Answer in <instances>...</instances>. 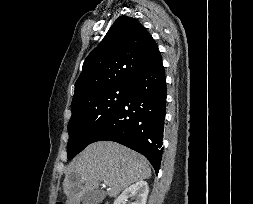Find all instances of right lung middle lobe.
<instances>
[{"label": "right lung middle lobe", "instance_id": "1", "mask_svg": "<svg viewBox=\"0 0 253 204\" xmlns=\"http://www.w3.org/2000/svg\"><path fill=\"white\" fill-rule=\"evenodd\" d=\"M128 86L110 87L71 106L72 116L68 124V159L93 143L124 101Z\"/></svg>", "mask_w": 253, "mask_h": 204}]
</instances>
